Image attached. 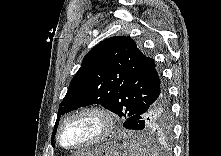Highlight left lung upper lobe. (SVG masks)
<instances>
[{
  "mask_svg": "<svg viewBox=\"0 0 221 156\" xmlns=\"http://www.w3.org/2000/svg\"><path fill=\"white\" fill-rule=\"evenodd\" d=\"M162 84L155 61L146 57L131 38L111 37L86 54L57 117L96 103L128 119L155 102Z\"/></svg>",
  "mask_w": 221,
  "mask_h": 156,
  "instance_id": "5c2ea615",
  "label": "left lung upper lobe"
}]
</instances>
